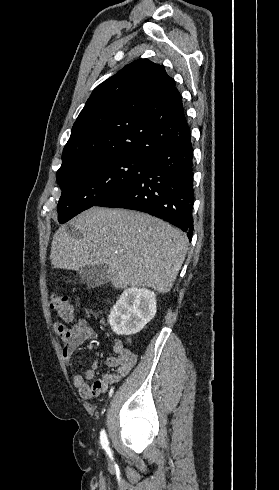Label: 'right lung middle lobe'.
Segmentation results:
<instances>
[{
    "label": "right lung middle lobe",
    "instance_id": "obj_1",
    "mask_svg": "<svg viewBox=\"0 0 279 490\" xmlns=\"http://www.w3.org/2000/svg\"><path fill=\"white\" fill-rule=\"evenodd\" d=\"M136 157L94 159L73 171L56 175L62 189L57 205L58 221L63 224L95 206L108 194L140 177L150 165Z\"/></svg>",
    "mask_w": 279,
    "mask_h": 490
}]
</instances>
